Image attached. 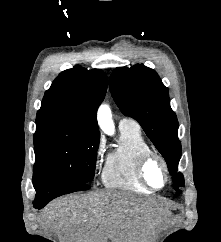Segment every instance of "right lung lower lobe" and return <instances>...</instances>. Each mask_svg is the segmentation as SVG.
<instances>
[{
  "label": "right lung lower lobe",
  "instance_id": "1",
  "mask_svg": "<svg viewBox=\"0 0 221 242\" xmlns=\"http://www.w3.org/2000/svg\"><path fill=\"white\" fill-rule=\"evenodd\" d=\"M33 185L36 189L34 207L38 209L43 208L49 201L58 196L90 188L87 183H78L61 179L33 180Z\"/></svg>",
  "mask_w": 221,
  "mask_h": 242
}]
</instances>
